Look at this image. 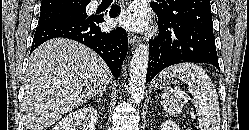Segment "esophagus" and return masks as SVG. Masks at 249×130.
I'll return each instance as SVG.
<instances>
[{
    "label": "esophagus",
    "instance_id": "34e87169",
    "mask_svg": "<svg viewBox=\"0 0 249 130\" xmlns=\"http://www.w3.org/2000/svg\"><path fill=\"white\" fill-rule=\"evenodd\" d=\"M128 39H129V43L135 47L136 45H138V43L140 42V39L137 35H134L133 33H129L128 34Z\"/></svg>",
    "mask_w": 249,
    "mask_h": 130
}]
</instances>
